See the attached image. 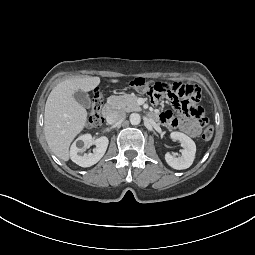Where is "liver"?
<instances>
[{
    "label": "liver",
    "instance_id": "6515ba94",
    "mask_svg": "<svg viewBox=\"0 0 255 255\" xmlns=\"http://www.w3.org/2000/svg\"><path fill=\"white\" fill-rule=\"evenodd\" d=\"M112 83L119 80L112 79ZM100 83L99 77H73L60 82L48 96L44 112V134L51 151L69 160V147L87 123V111L75 99L78 90L88 92Z\"/></svg>",
    "mask_w": 255,
    "mask_h": 255
}]
</instances>
